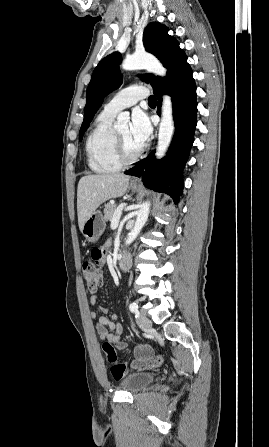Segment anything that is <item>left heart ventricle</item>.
<instances>
[{
    "label": "left heart ventricle",
    "instance_id": "left-heart-ventricle-1",
    "mask_svg": "<svg viewBox=\"0 0 269 447\" xmlns=\"http://www.w3.org/2000/svg\"><path fill=\"white\" fill-rule=\"evenodd\" d=\"M119 138L124 143L128 153L130 155H134L141 150L143 145L136 142L131 136V130L129 127H126L120 131H117Z\"/></svg>",
    "mask_w": 269,
    "mask_h": 447
}]
</instances>
